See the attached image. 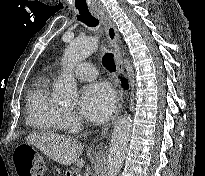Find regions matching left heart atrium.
I'll return each instance as SVG.
<instances>
[{
	"mask_svg": "<svg viewBox=\"0 0 205 176\" xmlns=\"http://www.w3.org/2000/svg\"><path fill=\"white\" fill-rule=\"evenodd\" d=\"M115 103V94L105 82H92L81 92L80 109L94 122L105 121L110 116Z\"/></svg>",
	"mask_w": 205,
	"mask_h": 176,
	"instance_id": "39dd6f15",
	"label": "left heart atrium"
}]
</instances>
